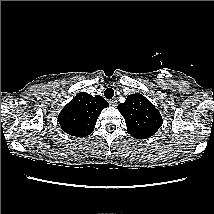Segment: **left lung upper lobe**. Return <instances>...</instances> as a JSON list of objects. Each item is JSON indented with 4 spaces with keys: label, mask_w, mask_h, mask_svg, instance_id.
<instances>
[{
    "label": "left lung upper lobe",
    "mask_w": 214,
    "mask_h": 214,
    "mask_svg": "<svg viewBox=\"0 0 214 214\" xmlns=\"http://www.w3.org/2000/svg\"><path fill=\"white\" fill-rule=\"evenodd\" d=\"M125 119L128 133L138 139L153 136L162 125V116L142 94H131L117 106Z\"/></svg>",
    "instance_id": "5c2ea615"
}]
</instances>
